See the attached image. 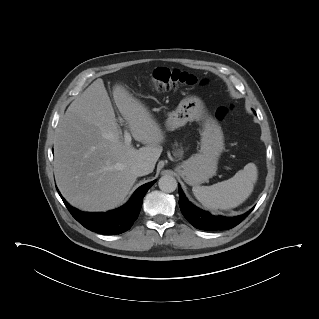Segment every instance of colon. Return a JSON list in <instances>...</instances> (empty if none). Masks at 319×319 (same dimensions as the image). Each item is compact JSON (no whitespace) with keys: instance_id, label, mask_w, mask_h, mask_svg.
<instances>
[{"instance_id":"1","label":"colon","mask_w":319,"mask_h":319,"mask_svg":"<svg viewBox=\"0 0 319 319\" xmlns=\"http://www.w3.org/2000/svg\"><path fill=\"white\" fill-rule=\"evenodd\" d=\"M198 79L187 72L164 67L157 68L151 77V86L158 92L176 91L182 86H193ZM229 112L228 106H220L216 110V118L224 120Z\"/></svg>"}]
</instances>
